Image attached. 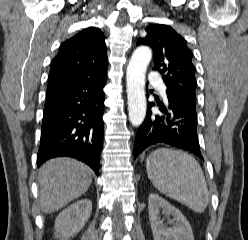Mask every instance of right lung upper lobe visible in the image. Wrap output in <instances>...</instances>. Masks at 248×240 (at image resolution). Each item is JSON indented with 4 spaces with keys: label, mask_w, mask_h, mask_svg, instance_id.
<instances>
[{
    "label": "right lung upper lobe",
    "mask_w": 248,
    "mask_h": 240,
    "mask_svg": "<svg viewBox=\"0 0 248 240\" xmlns=\"http://www.w3.org/2000/svg\"><path fill=\"white\" fill-rule=\"evenodd\" d=\"M106 50L104 34L96 27H88L66 40L51 62L47 92L106 76Z\"/></svg>",
    "instance_id": "right-lung-upper-lobe-1"
}]
</instances>
